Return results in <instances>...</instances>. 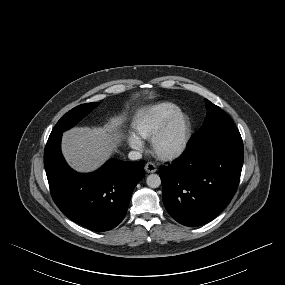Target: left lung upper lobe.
<instances>
[{
	"mask_svg": "<svg viewBox=\"0 0 285 285\" xmlns=\"http://www.w3.org/2000/svg\"><path fill=\"white\" fill-rule=\"evenodd\" d=\"M207 115L202 127L191 138L188 147L241 139L232 119L220 107L206 100Z\"/></svg>",
	"mask_w": 285,
	"mask_h": 285,
	"instance_id": "5c2ea615",
	"label": "left lung upper lobe"
}]
</instances>
